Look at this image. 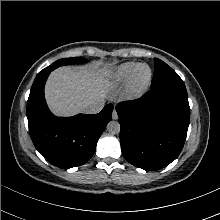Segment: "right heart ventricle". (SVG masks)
<instances>
[{"label": "right heart ventricle", "instance_id": "right-heart-ventricle-1", "mask_svg": "<svg viewBox=\"0 0 220 220\" xmlns=\"http://www.w3.org/2000/svg\"><path fill=\"white\" fill-rule=\"evenodd\" d=\"M137 66L138 65L135 63H125L119 66L113 73V82L116 84H124L128 82L131 79Z\"/></svg>", "mask_w": 220, "mask_h": 220}]
</instances>
